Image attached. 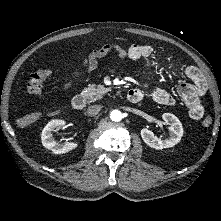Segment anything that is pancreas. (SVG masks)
Instances as JSON below:
<instances>
[{
    "mask_svg": "<svg viewBox=\"0 0 221 221\" xmlns=\"http://www.w3.org/2000/svg\"><path fill=\"white\" fill-rule=\"evenodd\" d=\"M109 89L102 85L90 84L87 88L83 89L81 95L87 99L89 103L95 102L102 98Z\"/></svg>",
    "mask_w": 221,
    "mask_h": 221,
    "instance_id": "pancreas-1",
    "label": "pancreas"
}]
</instances>
